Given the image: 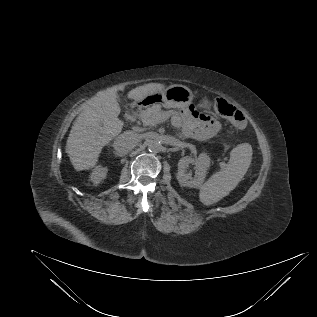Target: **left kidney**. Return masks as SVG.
<instances>
[{"mask_svg": "<svg viewBox=\"0 0 317 317\" xmlns=\"http://www.w3.org/2000/svg\"><path fill=\"white\" fill-rule=\"evenodd\" d=\"M195 165V175L187 172L189 165ZM210 166V157L201 153L197 158L183 157L178 162L177 180L181 186L189 188H200L205 180L207 170Z\"/></svg>", "mask_w": 317, "mask_h": 317, "instance_id": "obj_1", "label": "left kidney"}]
</instances>
